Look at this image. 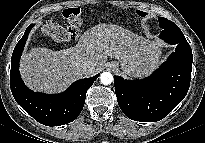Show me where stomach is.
I'll list each match as a JSON object with an SVG mask.
<instances>
[{
	"mask_svg": "<svg viewBox=\"0 0 205 143\" xmlns=\"http://www.w3.org/2000/svg\"><path fill=\"white\" fill-rule=\"evenodd\" d=\"M156 53H157L158 55H160V50H156ZM113 64H116V63L114 62ZM143 74H144L143 71H137V72H135V73L133 74V76L139 77V76H142Z\"/></svg>",
	"mask_w": 205,
	"mask_h": 143,
	"instance_id": "1",
	"label": "stomach"
}]
</instances>
